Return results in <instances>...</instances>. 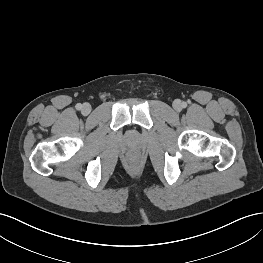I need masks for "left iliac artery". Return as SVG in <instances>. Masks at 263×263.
I'll use <instances>...</instances> for the list:
<instances>
[{"mask_svg":"<svg viewBox=\"0 0 263 263\" xmlns=\"http://www.w3.org/2000/svg\"><path fill=\"white\" fill-rule=\"evenodd\" d=\"M187 106L186 103H182V107L185 108Z\"/></svg>","mask_w":263,"mask_h":263,"instance_id":"left-iliac-artery-1","label":"left iliac artery"}]
</instances>
